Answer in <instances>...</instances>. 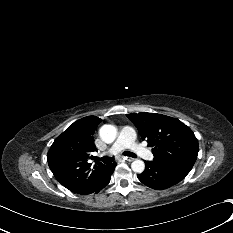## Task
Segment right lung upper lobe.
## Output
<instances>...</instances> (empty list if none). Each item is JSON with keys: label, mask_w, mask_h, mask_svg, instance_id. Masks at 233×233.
<instances>
[{"label": "right lung upper lobe", "mask_w": 233, "mask_h": 233, "mask_svg": "<svg viewBox=\"0 0 233 233\" xmlns=\"http://www.w3.org/2000/svg\"><path fill=\"white\" fill-rule=\"evenodd\" d=\"M101 122L96 116L75 121L59 135L47 154L48 165L55 178L72 192L88 194L108 166L89 163L96 151L93 134Z\"/></svg>", "instance_id": "cb5924a9"}]
</instances>
